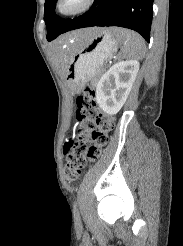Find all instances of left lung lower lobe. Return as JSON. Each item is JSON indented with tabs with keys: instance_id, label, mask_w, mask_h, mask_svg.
<instances>
[{
	"instance_id": "0a47b994",
	"label": "left lung lower lobe",
	"mask_w": 183,
	"mask_h": 246,
	"mask_svg": "<svg viewBox=\"0 0 183 246\" xmlns=\"http://www.w3.org/2000/svg\"><path fill=\"white\" fill-rule=\"evenodd\" d=\"M153 1L95 0L90 10L70 20L62 33L92 26H119L137 31L149 42Z\"/></svg>"
}]
</instances>
